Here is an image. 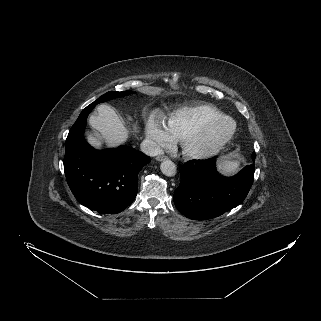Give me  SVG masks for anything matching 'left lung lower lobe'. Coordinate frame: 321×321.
<instances>
[{"label": "left lung lower lobe", "instance_id": "0a47b994", "mask_svg": "<svg viewBox=\"0 0 321 321\" xmlns=\"http://www.w3.org/2000/svg\"><path fill=\"white\" fill-rule=\"evenodd\" d=\"M252 160L255 161V153ZM254 171L252 163L235 176L224 177L216 170V157L190 160L182 166L174 203L190 219L218 217L243 202L252 186Z\"/></svg>", "mask_w": 321, "mask_h": 321}]
</instances>
